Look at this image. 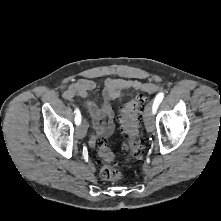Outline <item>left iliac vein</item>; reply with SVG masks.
I'll list each match as a JSON object with an SVG mask.
<instances>
[{
  "label": "left iliac vein",
  "mask_w": 221,
  "mask_h": 221,
  "mask_svg": "<svg viewBox=\"0 0 221 221\" xmlns=\"http://www.w3.org/2000/svg\"><path fill=\"white\" fill-rule=\"evenodd\" d=\"M152 107H153L152 102L148 103L144 114V123L148 132H153L155 129Z\"/></svg>",
  "instance_id": "left-iliac-vein-1"
}]
</instances>
